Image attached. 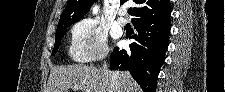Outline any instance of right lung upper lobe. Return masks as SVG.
<instances>
[{"instance_id": "right-lung-upper-lobe-1", "label": "right lung upper lobe", "mask_w": 225, "mask_h": 92, "mask_svg": "<svg viewBox=\"0 0 225 92\" xmlns=\"http://www.w3.org/2000/svg\"><path fill=\"white\" fill-rule=\"evenodd\" d=\"M125 2L126 0H121ZM134 8L132 23L141 18H153L171 12L170 0H133ZM96 0H68L58 25L73 24L83 17Z\"/></svg>"}]
</instances>
